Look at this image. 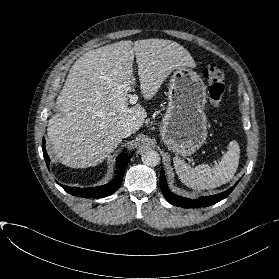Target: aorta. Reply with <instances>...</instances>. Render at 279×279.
Here are the masks:
<instances>
[{
    "label": "aorta",
    "mask_w": 279,
    "mask_h": 279,
    "mask_svg": "<svg viewBox=\"0 0 279 279\" xmlns=\"http://www.w3.org/2000/svg\"><path fill=\"white\" fill-rule=\"evenodd\" d=\"M142 162L147 166H156L159 161L160 157L157 151L155 150H147L142 154Z\"/></svg>",
    "instance_id": "1"
}]
</instances>
